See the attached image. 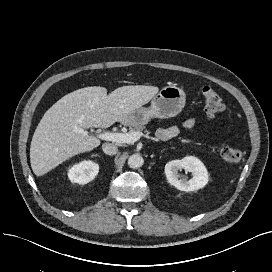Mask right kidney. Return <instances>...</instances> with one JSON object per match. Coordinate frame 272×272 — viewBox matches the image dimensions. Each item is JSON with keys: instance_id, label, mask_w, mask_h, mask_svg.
<instances>
[{"instance_id": "right-kidney-1", "label": "right kidney", "mask_w": 272, "mask_h": 272, "mask_svg": "<svg viewBox=\"0 0 272 272\" xmlns=\"http://www.w3.org/2000/svg\"><path fill=\"white\" fill-rule=\"evenodd\" d=\"M99 172V165L93 161H82L68 170V178L81 185L92 181Z\"/></svg>"}]
</instances>
